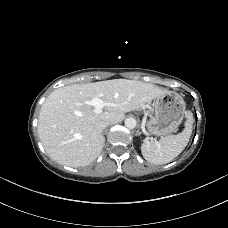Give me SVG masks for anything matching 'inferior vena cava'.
<instances>
[{"label": "inferior vena cava", "instance_id": "inferior-vena-cava-1", "mask_svg": "<svg viewBox=\"0 0 228 228\" xmlns=\"http://www.w3.org/2000/svg\"><path fill=\"white\" fill-rule=\"evenodd\" d=\"M110 122L109 121H101V122H98L96 125H95V128L102 132L107 126H109Z\"/></svg>", "mask_w": 228, "mask_h": 228}]
</instances>
